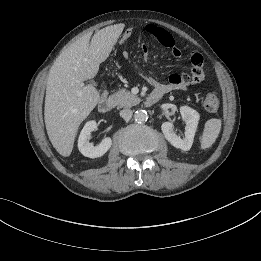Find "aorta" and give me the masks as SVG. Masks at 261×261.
I'll use <instances>...</instances> for the list:
<instances>
[{"label":"aorta","mask_w":261,"mask_h":261,"mask_svg":"<svg viewBox=\"0 0 261 261\" xmlns=\"http://www.w3.org/2000/svg\"><path fill=\"white\" fill-rule=\"evenodd\" d=\"M134 119L138 123H144L148 120V114L145 110H137L134 114Z\"/></svg>","instance_id":"aorta-1"}]
</instances>
